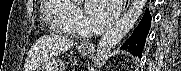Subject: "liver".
<instances>
[{
  "instance_id": "liver-1",
  "label": "liver",
  "mask_w": 181,
  "mask_h": 71,
  "mask_svg": "<svg viewBox=\"0 0 181 71\" xmlns=\"http://www.w3.org/2000/svg\"><path fill=\"white\" fill-rule=\"evenodd\" d=\"M74 41L57 35L45 36L31 48L25 71H34L44 58L56 56L74 47Z\"/></svg>"
}]
</instances>
